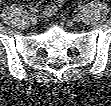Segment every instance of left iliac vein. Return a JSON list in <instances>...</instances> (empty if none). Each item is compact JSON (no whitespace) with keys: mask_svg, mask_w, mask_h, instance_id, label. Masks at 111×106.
Listing matches in <instances>:
<instances>
[{"mask_svg":"<svg viewBox=\"0 0 111 106\" xmlns=\"http://www.w3.org/2000/svg\"><path fill=\"white\" fill-rule=\"evenodd\" d=\"M82 19H83V15L81 13H77L74 16V20L77 21V22H80Z\"/></svg>","mask_w":111,"mask_h":106,"instance_id":"1","label":"left iliac vein"}]
</instances>
